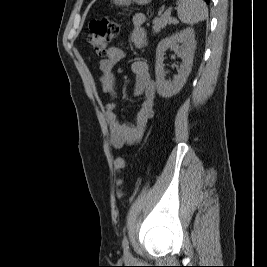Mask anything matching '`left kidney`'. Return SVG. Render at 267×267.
Returning a JSON list of instances; mask_svg holds the SVG:
<instances>
[{"mask_svg":"<svg viewBox=\"0 0 267 267\" xmlns=\"http://www.w3.org/2000/svg\"><path fill=\"white\" fill-rule=\"evenodd\" d=\"M181 44V46H179ZM196 48L194 29L186 28L178 33L161 40L156 49V87L157 93L163 98L176 95L186 83L193 65L194 52ZM172 49L182 59L178 74L173 80H166L164 70V54L166 50Z\"/></svg>","mask_w":267,"mask_h":267,"instance_id":"obj_1","label":"left kidney"}]
</instances>
